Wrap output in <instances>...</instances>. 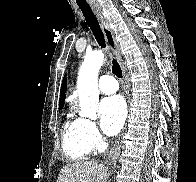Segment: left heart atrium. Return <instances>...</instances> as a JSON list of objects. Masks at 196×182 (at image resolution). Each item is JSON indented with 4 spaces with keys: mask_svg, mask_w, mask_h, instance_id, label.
Wrapping results in <instances>:
<instances>
[{
    "mask_svg": "<svg viewBox=\"0 0 196 182\" xmlns=\"http://www.w3.org/2000/svg\"><path fill=\"white\" fill-rule=\"evenodd\" d=\"M101 127L107 135L117 134L124 125L126 119V105L119 95L102 99L99 106Z\"/></svg>",
    "mask_w": 196,
    "mask_h": 182,
    "instance_id": "1",
    "label": "left heart atrium"
}]
</instances>
